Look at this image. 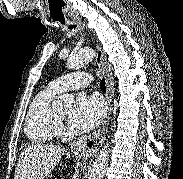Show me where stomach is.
I'll list each match as a JSON object with an SVG mask.
<instances>
[{"mask_svg":"<svg viewBox=\"0 0 183 179\" xmlns=\"http://www.w3.org/2000/svg\"><path fill=\"white\" fill-rule=\"evenodd\" d=\"M77 155L81 158V157H85L84 153L78 152Z\"/></svg>","mask_w":183,"mask_h":179,"instance_id":"stomach-1","label":"stomach"}]
</instances>
